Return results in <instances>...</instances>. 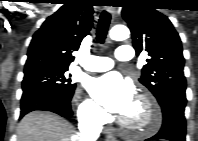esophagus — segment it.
I'll use <instances>...</instances> for the list:
<instances>
[{
  "instance_id": "1",
  "label": "esophagus",
  "mask_w": 198,
  "mask_h": 141,
  "mask_svg": "<svg viewBox=\"0 0 198 141\" xmlns=\"http://www.w3.org/2000/svg\"><path fill=\"white\" fill-rule=\"evenodd\" d=\"M110 14L112 15V21H114L115 16H116V11L113 8L109 9ZM105 133L107 134V139L108 140H114L115 139V134L114 130L112 128H106Z\"/></svg>"
}]
</instances>
